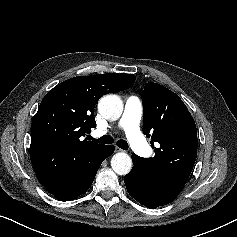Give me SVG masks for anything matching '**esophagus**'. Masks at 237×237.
<instances>
[{"instance_id":"1","label":"esophagus","mask_w":237,"mask_h":237,"mask_svg":"<svg viewBox=\"0 0 237 237\" xmlns=\"http://www.w3.org/2000/svg\"><path fill=\"white\" fill-rule=\"evenodd\" d=\"M123 150L119 147H116V152H122Z\"/></svg>"}]
</instances>
